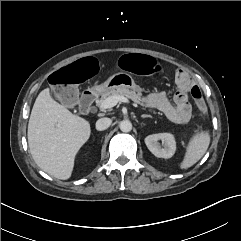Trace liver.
<instances>
[{
  "instance_id": "6515ba94",
  "label": "liver",
  "mask_w": 241,
  "mask_h": 241,
  "mask_svg": "<svg viewBox=\"0 0 241 241\" xmlns=\"http://www.w3.org/2000/svg\"><path fill=\"white\" fill-rule=\"evenodd\" d=\"M90 124L42 90L28 123L30 153L40 169L61 180L71 177L79 149L90 137Z\"/></svg>"
}]
</instances>
